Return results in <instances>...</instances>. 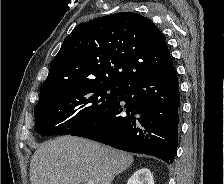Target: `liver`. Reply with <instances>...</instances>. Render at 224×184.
I'll return each instance as SVG.
<instances>
[{
  "mask_svg": "<svg viewBox=\"0 0 224 184\" xmlns=\"http://www.w3.org/2000/svg\"><path fill=\"white\" fill-rule=\"evenodd\" d=\"M133 163L131 154L83 138L62 136L35 151L31 184H112Z\"/></svg>",
  "mask_w": 224,
  "mask_h": 184,
  "instance_id": "1",
  "label": "liver"
}]
</instances>
